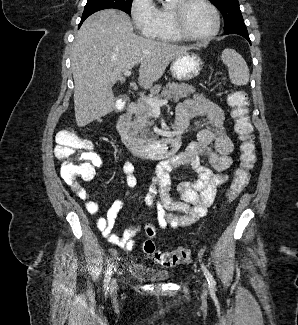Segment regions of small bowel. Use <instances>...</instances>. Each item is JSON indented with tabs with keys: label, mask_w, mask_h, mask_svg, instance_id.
<instances>
[{
	"label": "small bowel",
	"mask_w": 298,
	"mask_h": 325,
	"mask_svg": "<svg viewBox=\"0 0 298 325\" xmlns=\"http://www.w3.org/2000/svg\"><path fill=\"white\" fill-rule=\"evenodd\" d=\"M179 106L191 109L195 115L206 116L211 128L201 130L196 141L190 143L184 151L161 162L156 169V176L152 179L144 200L146 205L155 211L158 226L162 230L188 226L205 216L208 207L215 200L218 187L227 182L226 171L232 165L231 154L234 145L225 129L223 110L203 95L188 98ZM201 158L208 161L210 168L203 165ZM178 167L190 168L196 175L195 179L178 184L181 201L173 200L170 195V172ZM121 170L124 174V186L134 188L137 179L133 161H125ZM71 189L85 201L88 213L96 214L99 211V205L90 200L89 193L81 185L73 184ZM122 207L121 200L115 201L106 216L96 220V226L108 242L131 250L135 246L133 236L139 231V225L132 226L122 234L113 232Z\"/></svg>",
	"instance_id": "1"
}]
</instances>
